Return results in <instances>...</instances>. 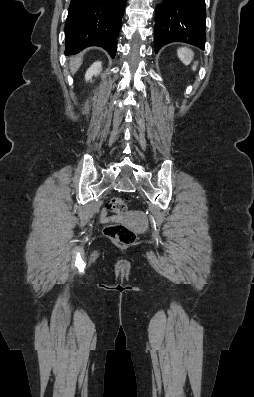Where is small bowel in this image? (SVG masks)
Masks as SVG:
<instances>
[{"label": "small bowel", "mask_w": 254, "mask_h": 397, "mask_svg": "<svg viewBox=\"0 0 254 397\" xmlns=\"http://www.w3.org/2000/svg\"><path fill=\"white\" fill-rule=\"evenodd\" d=\"M129 217V218H136L140 219V214L137 212L130 213L128 216H122V215H108L107 211L104 209L101 212V221L103 223H109V222H117L121 221L124 218Z\"/></svg>", "instance_id": "small-bowel-1"}]
</instances>
